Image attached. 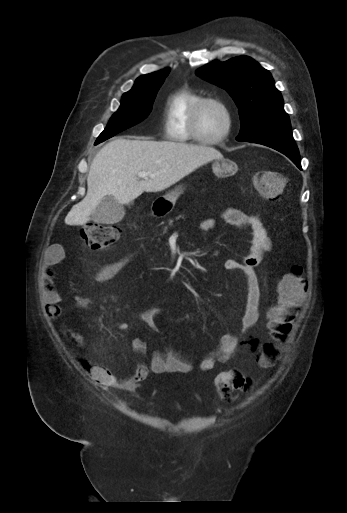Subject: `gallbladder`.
Listing matches in <instances>:
<instances>
[{
	"instance_id": "obj_1",
	"label": "gallbladder",
	"mask_w": 347,
	"mask_h": 513,
	"mask_svg": "<svg viewBox=\"0 0 347 513\" xmlns=\"http://www.w3.org/2000/svg\"><path fill=\"white\" fill-rule=\"evenodd\" d=\"M125 215L124 206L112 196H105L91 214V220L99 224H115Z\"/></svg>"
}]
</instances>
